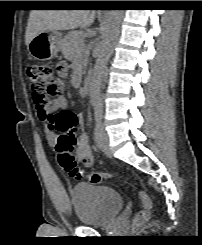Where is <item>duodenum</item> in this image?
Here are the masks:
<instances>
[{"instance_id":"410a0bca","label":"duodenum","mask_w":202,"mask_h":245,"mask_svg":"<svg viewBox=\"0 0 202 245\" xmlns=\"http://www.w3.org/2000/svg\"><path fill=\"white\" fill-rule=\"evenodd\" d=\"M90 82H91V77L90 75H87L82 81V85H81L82 92H86L89 89Z\"/></svg>"}]
</instances>
